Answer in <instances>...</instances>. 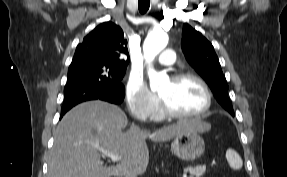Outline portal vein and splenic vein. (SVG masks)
Here are the masks:
<instances>
[{
  "instance_id": "18ae733b",
  "label": "portal vein and splenic vein",
  "mask_w": 287,
  "mask_h": 177,
  "mask_svg": "<svg viewBox=\"0 0 287 177\" xmlns=\"http://www.w3.org/2000/svg\"><path fill=\"white\" fill-rule=\"evenodd\" d=\"M98 150H99L100 153L108 156L111 159L112 162H118L121 159V157L118 154H115V153H113V152H111L109 150H106V149H103V148H99ZM183 177H186V175H183Z\"/></svg>"
}]
</instances>
